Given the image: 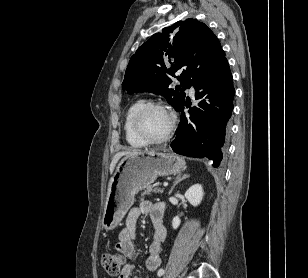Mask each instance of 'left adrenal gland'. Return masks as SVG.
<instances>
[{
	"instance_id": "1",
	"label": "left adrenal gland",
	"mask_w": 308,
	"mask_h": 278,
	"mask_svg": "<svg viewBox=\"0 0 308 278\" xmlns=\"http://www.w3.org/2000/svg\"><path fill=\"white\" fill-rule=\"evenodd\" d=\"M189 176H190V175H188V174H184V175L179 174V175H177V177H176V179H175V181H174V183H173V185H172V187H171V189H170V191H169V195H171L173 189L175 188V186H176L178 183H180L181 181L187 179Z\"/></svg>"
}]
</instances>
